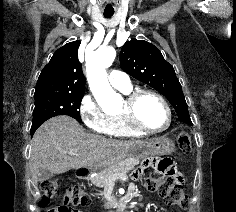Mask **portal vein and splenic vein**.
<instances>
[{
  "label": "portal vein and splenic vein",
  "instance_id": "obj_1",
  "mask_svg": "<svg viewBox=\"0 0 236 212\" xmlns=\"http://www.w3.org/2000/svg\"><path fill=\"white\" fill-rule=\"evenodd\" d=\"M67 153L70 154V155H78L76 150H70V151H68ZM114 179H115V178L110 179L109 182H113ZM119 179H122V180H123V179H125V178H124V176H121Z\"/></svg>",
  "mask_w": 236,
  "mask_h": 212
}]
</instances>
